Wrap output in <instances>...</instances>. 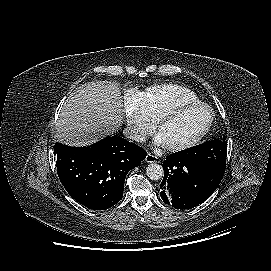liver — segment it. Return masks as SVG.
Masks as SVG:
<instances>
[{
  "label": "liver",
  "instance_id": "liver-1",
  "mask_svg": "<svg viewBox=\"0 0 271 271\" xmlns=\"http://www.w3.org/2000/svg\"><path fill=\"white\" fill-rule=\"evenodd\" d=\"M122 98L116 84L89 82L64 102L55 138L67 145L84 146L115 133L123 122Z\"/></svg>",
  "mask_w": 271,
  "mask_h": 271
}]
</instances>
